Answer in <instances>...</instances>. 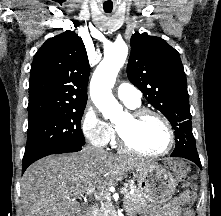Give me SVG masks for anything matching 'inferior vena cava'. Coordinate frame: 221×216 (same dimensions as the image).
Wrapping results in <instances>:
<instances>
[{"mask_svg": "<svg viewBox=\"0 0 221 216\" xmlns=\"http://www.w3.org/2000/svg\"><path fill=\"white\" fill-rule=\"evenodd\" d=\"M86 149L89 150V151L95 152V153H102V152H104L102 149H96V148H93L91 146H87Z\"/></svg>", "mask_w": 221, "mask_h": 216, "instance_id": "1", "label": "inferior vena cava"}]
</instances>
